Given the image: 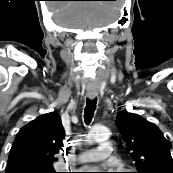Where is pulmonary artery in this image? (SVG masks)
<instances>
[{"label": "pulmonary artery", "mask_w": 173, "mask_h": 173, "mask_svg": "<svg viewBox=\"0 0 173 173\" xmlns=\"http://www.w3.org/2000/svg\"><path fill=\"white\" fill-rule=\"evenodd\" d=\"M113 147L109 141H103L98 147L80 153L77 160L80 162H98L107 159Z\"/></svg>", "instance_id": "obj_1"}]
</instances>
